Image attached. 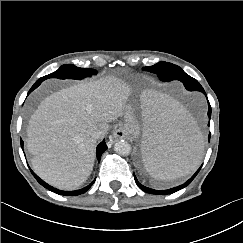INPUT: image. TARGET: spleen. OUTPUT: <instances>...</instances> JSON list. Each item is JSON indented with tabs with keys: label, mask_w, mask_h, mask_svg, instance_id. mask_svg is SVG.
<instances>
[{
	"label": "spleen",
	"mask_w": 243,
	"mask_h": 243,
	"mask_svg": "<svg viewBox=\"0 0 243 243\" xmlns=\"http://www.w3.org/2000/svg\"><path fill=\"white\" fill-rule=\"evenodd\" d=\"M204 139L195 119L175 100L146 91L141 97L139 148L146 171L170 181L196 170Z\"/></svg>",
	"instance_id": "3e777b00"
}]
</instances>
